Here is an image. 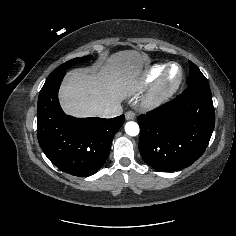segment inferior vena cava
<instances>
[{
  "label": "inferior vena cava",
  "instance_id": "inferior-vena-cava-1",
  "mask_svg": "<svg viewBox=\"0 0 236 236\" xmlns=\"http://www.w3.org/2000/svg\"><path fill=\"white\" fill-rule=\"evenodd\" d=\"M123 113L122 106L120 104L113 105L103 110L101 117L103 118H113L121 115Z\"/></svg>",
  "mask_w": 236,
  "mask_h": 236
}]
</instances>
